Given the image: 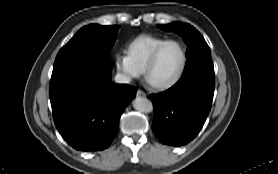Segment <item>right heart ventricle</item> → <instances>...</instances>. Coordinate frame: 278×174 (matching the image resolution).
<instances>
[{
  "instance_id": "obj_1",
  "label": "right heart ventricle",
  "mask_w": 278,
  "mask_h": 174,
  "mask_svg": "<svg viewBox=\"0 0 278 174\" xmlns=\"http://www.w3.org/2000/svg\"><path fill=\"white\" fill-rule=\"evenodd\" d=\"M164 41L152 36H141L129 45L128 58L139 72L144 71L151 54Z\"/></svg>"
}]
</instances>
